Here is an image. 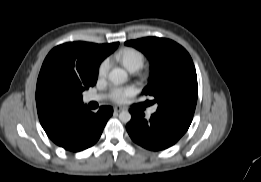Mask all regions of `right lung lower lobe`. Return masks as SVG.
<instances>
[{
	"instance_id": "right-lung-lower-lobe-1",
	"label": "right lung lower lobe",
	"mask_w": 261,
	"mask_h": 182,
	"mask_svg": "<svg viewBox=\"0 0 261 182\" xmlns=\"http://www.w3.org/2000/svg\"><path fill=\"white\" fill-rule=\"evenodd\" d=\"M112 114L113 108L110 106H102L97 113H93L81 103L66 109L44 130L58 146L79 152L98 141Z\"/></svg>"
}]
</instances>
